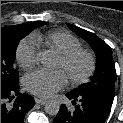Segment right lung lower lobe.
Masks as SVG:
<instances>
[{"label": "right lung lower lobe", "instance_id": "obj_1", "mask_svg": "<svg viewBox=\"0 0 123 123\" xmlns=\"http://www.w3.org/2000/svg\"><path fill=\"white\" fill-rule=\"evenodd\" d=\"M19 85L8 86L1 84V123H23L25 114L35 105L32 96L19 93ZM17 98L10 107L6 101H11L13 95Z\"/></svg>", "mask_w": 123, "mask_h": 123}]
</instances>
